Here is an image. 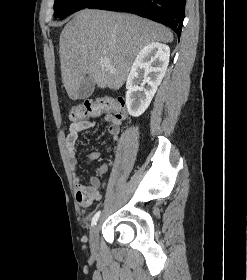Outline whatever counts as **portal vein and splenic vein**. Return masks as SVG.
Returning a JSON list of instances; mask_svg holds the SVG:
<instances>
[{
	"label": "portal vein and splenic vein",
	"instance_id": "1",
	"mask_svg": "<svg viewBox=\"0 0 247 280\" xmlns=\"http://www.w3.org/2000/svg\"><path fill=\"white\" fill-rule=\"evenodd\" d=\"M108 64V60L107 59H102L101 61H100V65L101 66H106Z\"/></svg>",
	"mask_w": 247,
	"mask_h": 280
}]
</instances>
